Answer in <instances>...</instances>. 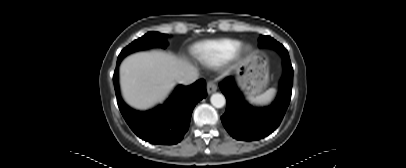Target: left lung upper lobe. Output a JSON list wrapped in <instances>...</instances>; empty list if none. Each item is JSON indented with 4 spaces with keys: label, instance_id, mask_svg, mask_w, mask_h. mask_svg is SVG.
Segmentation results:
<instances>
[{
    "label": "left lung upper lobe",
    "instance_id": "1",
    "mask_svg": "<svg viewBox=\"0 0 406 168\" xmlns=\"http://www.w3.org/2000/svg\"><path fill=\"white\" fill-rule=\"evenodd\" d=\"M259 46L275 49L280 54L288 52L282 44H280L279 42H277L276 40H274L273 38H271L269 36H260Z\"/></svg>",
    "mask_w": 406,
    "mask_h": 168
}]
</instances>
